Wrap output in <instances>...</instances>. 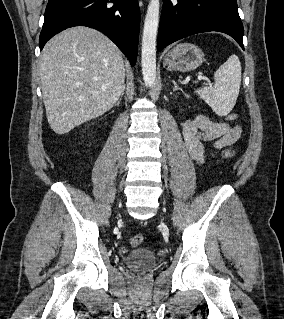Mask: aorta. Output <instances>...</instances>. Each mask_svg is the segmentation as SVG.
Wrapping results in <instances>:
<instances>
[{"instance_id": "obj_1", "label": "aorta", "mask_w": 284, "mask_h": 319, "mask_svg": "<svg viewBox=\"0 0 284 319\" xmlns=\"http://www.w3.org/2000/svg\"><path fill=\"white\" fill-rule=\"evenodd\" d=\"M160 0H150L144 20L141 66L146 86L153 87L156 80V38L159 24Z\"/></svg>"}]
</instances>
